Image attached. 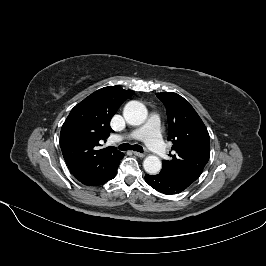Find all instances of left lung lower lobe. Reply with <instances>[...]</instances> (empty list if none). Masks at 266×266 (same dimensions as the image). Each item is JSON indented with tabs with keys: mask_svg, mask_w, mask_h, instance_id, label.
<instances>
[{
	"mask_svg": "<svg viewBox=\"0 0 266 266\" xmlns=\"http://www.w3.org/2000/svg\"><path fill=\"white\" fill-rule=\"evenodd\" d=\"M145 181L152 188L158 192L170 195L178 194L185 190L187 187L182 186L170 178L166 177L164 174L159 173L157 175H145Z\"/></svg>",
	"mask_w": 266,
	"mask_h": 266,
	"instance_id": "1",
	"label": "left lung lower lobe"
}]
</instances>
